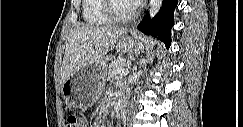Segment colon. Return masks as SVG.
Returning a JSON list of instances; mask_svg holds the SVG:
<instances>
[{"label":"colon","mask_w":243,"mask_h":127,"mask_svg":"<svg viewBox=\"0 0 243 127\" xmlns=\"http://www.w3.org/2000/svg\"><path fill=\"white\" fill-rule=\"evenodd\" d=\"M67 127H84L83 121L75 113H70L66 118Z\"/></svg>","instance_id":"obj_1"}]
</instances>
